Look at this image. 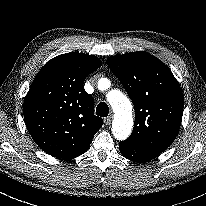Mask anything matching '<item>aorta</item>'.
<instances>
[{
  "label": "aorta",
  "mask_w": 206,
  "mask_h": 206,
  "mask_svg": "<svg viewBox=\"0 0 206 206\" xmlns=\"http://www.w3.org/2000/svg\"><path fill=\"white\" fill-rule=\"evenodd\" d=\"M107 100L114 112L112 133L117 140L129 137L133 128L132 105L130 100L119 90H111Z\"/></svg>",
  "instance_id": "762f6f07"
}]
</instances>
